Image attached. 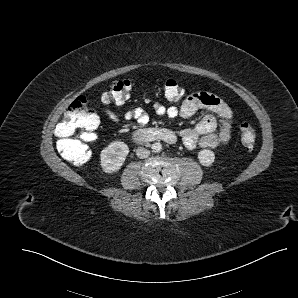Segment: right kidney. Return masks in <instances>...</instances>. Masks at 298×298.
Segmentation results:
<instances>
[{
	"mask_svg": "<svg viewBox=\"0 0 298 298\" xmlns=\"http://www.w3.org/2000/svg\"><path fill=\"white\" fill-rule=\"evenodd\" d=\"M128 153L129 147L124 142L114 141L110 143L100 154L103 171L106 173L118 171L123 165Z\"/></svg>",
	"mask_w": 298,
	"mask_h": 298,
	"instance_id": "right-kidney-1",
	"label": "right kidney"
}]
</instances>
